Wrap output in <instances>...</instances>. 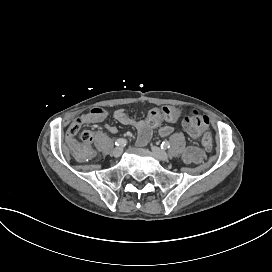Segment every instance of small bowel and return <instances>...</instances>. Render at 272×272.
I'll return each instance as SVG.
<instances>
[{"label": "small bowel", "mask_w": 272, "mask_h": 272, "mask_svg": "<svg viewBox=\"0 0 272 272\" xmlns=\"http://www.w3.org/2000/svg\"><path fill=\"white\" fill-rule=\"evenodd\" d=\"M109 112L101 107H93L86 113L77 117L73 122L78 121L84 124H96L102 123L108 118ZM112 116L121 124L131 126L138 131L139 144H145L151 137L152 129L157 127L162 121H166L169 125H164L159 128V135L167 137L174 132L172 124L177 123L179 120V111L174 107H162L160 109H152L146 119H136L129 115L123 109H117L112 113ZM104 128L110 133H116L118 130L115 126L104 124ZM91 134L94 138V134L90 131H84ZM67 140L73 147H77L75 143V137H72L67 133ZM90 148V147H89ZM201 158L199 150L195 147H189L184 153V159L188 163H197Z\"/></svg>", "instance_id": "1"}]
</instances>
